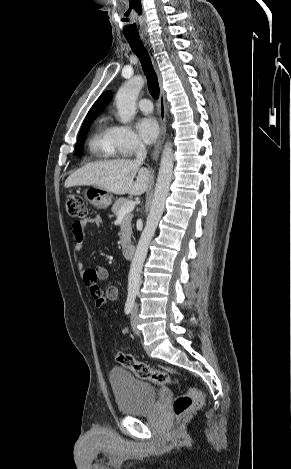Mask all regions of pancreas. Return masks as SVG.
I'll return each instance as SVG.
<instances>
[{
    "label": "pancreas",
    "mask_w": 291,
    "mask_h": 469,
    "mask_svg": "<svg viewBox=\"0 0 291 469\" xmlns=\"http://www.w3.org/2000/svg\"><path fill=\"white\" fill-rule=\"evenodd\" d=\"M128 201L129 200L126 198H119L118 200L115 201L112 207V212L114 213L115 216L119 215V212L122 206L126 204ZM131 220H132L131 213H127L122 220L121 231H120V242L122 246H125L131 241V234H132Z\"/></svg>",
    "instance_id": "cf45deb5"
}]
</instances>
